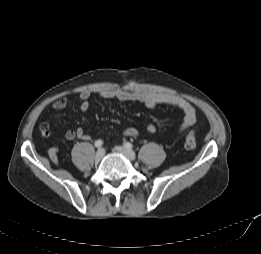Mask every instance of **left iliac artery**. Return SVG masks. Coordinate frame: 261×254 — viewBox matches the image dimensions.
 <instances>
[{
	"label": "left iliac artery",
	"instance_id": "obj_1",
	"mask_svg": "<svg viewBox=\"0 0 261 254\" xmlns=\"http://www.w3.org/2000/svg\"><path fill=\"white\" fill-rule=\"evenodd\" d=\"M124 147L127 148V149H132L133 145L130 142H125Z\"/></svg>",
	"mask_w": 261,
	"mask_h": 254
}]
</instances>
